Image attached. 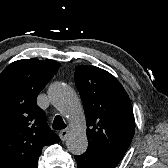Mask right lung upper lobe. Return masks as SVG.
Here are the masks:
<instances>
[{
    "mask_svg": "<svg viewBox=\"0 0 168 168\" xmlns=\"http://www.w3.org/2000/svg\"><path fill=\"white\" fill-rule=\"evenodd\" d=\"M59 66L54 60L24 59L0 74V168H36L42 147L59 142L36 103Z\"/></svg>",
    "mask_w": 168,
    "mask_h": 168,
    "instance_id": "1",
    "label": "right lung upper lobe"
}]
</instances>
